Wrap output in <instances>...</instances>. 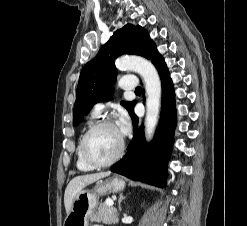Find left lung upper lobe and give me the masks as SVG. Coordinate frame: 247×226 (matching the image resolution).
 Segmentation results:
<instances>
[{
	"label": "left lung upper lobe",
	"mask_w": 247,
	"mask_h": 226,
	"mask_svg": "<svg viewBox=\"0 0 247 226\" xmlns=\"http://www.w3.org/2000/svg\"><path fill=\"white\" fill-rule=\"evenodd\" d=\"M157 52L144 28L127 24L115 31L97 56L82 68L74 105V126L83 120L95 103L109 100L112 96L117 75L114 60L118 56L133 54L152 59ZM121 104L130 115L133 113L135 101Z\"/></svg>",
	"instance_id": "left-lung-upper-lobe-1"
}]
</instances>
